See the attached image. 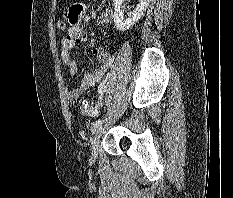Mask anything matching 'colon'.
<instances>
[{
	"mask_svg": "<svg viewBox=\"0 0 233 198\" xmlns=\"http://www.w3.org/2000/svg\"><path fill=\"white\" fill-rule=\"evenodd\" d=\"M56 27L59 31H64L67 28V23L64 19H58ZM101 102L98 98L92 101L83 100L80 106V112L82 115H90L95 113L100 108Z\"/></svg>",
	"mask_w": 233,
	"mask_h": 198,
	"instance_id": "5ec220e1",
	"label": "colon"
}]
</instances>
